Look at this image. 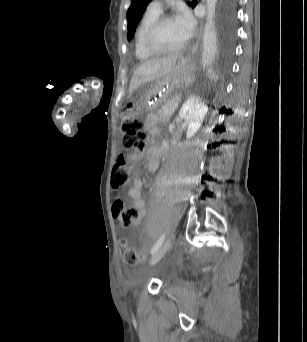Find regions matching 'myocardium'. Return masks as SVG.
<instances>
[{
	"label": "myocardium",
	"instance_id": "obj_1",
	"mask_svg": "<svg viewBox=\"0 0 307 342\" xmlns=\"http://www.w3.org/2000/svg\"><path fill=\"white\" fill-rule=\"evenodd\" d=\"M177 19L174 16L171 15H159L156 18H154L148 25L147 29L145 30V33L143 35L142 44L144 49L153 56H173L178 55L182 53L186 47L187 44L181 46L178 49L174 50H162L159 49L155 43H154V37L158 31V29L166 22H173Z\"/></svg>",
	"mask_w": 307,
	"mask_h": 342
}]
</instances>
